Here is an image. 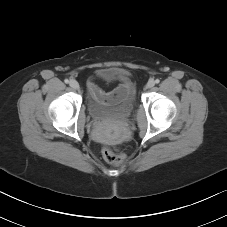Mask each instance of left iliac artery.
<instances>
[{
    "instance_id": "left-iliac-artery-1",
    "label": "left iliac artery",
    "mask_w": 227,
    "mask_h": 227,
    "mask_svg": "<svg viewBox=\"0 0 227 227\" xmlns=\"http://www.w3.org/2000/svg\"><path fill=\"white\" fill-rule=\"evenodd\" d=\"M159 82H160V80H159V79H156V80H155V83H156V84H158Z\"/></svg>"
}]
</instances>
